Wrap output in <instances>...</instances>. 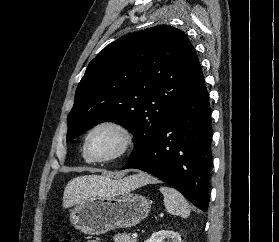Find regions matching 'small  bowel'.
I'll use <instances>...</instances> for the list:
<instances>
[{
  "label": "small bowel",
  "instance_id": "obj_1",
  "mask_svg": "<svg viewBox=\"0 0 279 242\" xmlns=\"http://www.w3.org/2000/svg\"><path fill=\"white\" fill-rule=\"evenodd\" d=\"M87 242H99V241H97V240H90V241H87Z\"/></svg>",
  "mask_w": 279,
  "mask_h": 242
}]
</instances>
